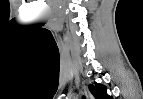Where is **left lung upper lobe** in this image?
I'll use <instances>...</instances> for the list:
<instances>
[{"instance_id": "obj_1", "label": "left lung upper lobe", "mask_w": 143, "mask_h": 99, "mask_svg": "<svg viewBox=\"0 0 143 99\" xmlns=\"http://www.w3.org/2000/svg\"><path fill=\"white\" fill-rule=\"evenodd\" d=\"M89 89L96 99H112V97L107 94L106 86L102 84L99 83H95V85L90 84Z\"/></svg>"}]
</instances>
